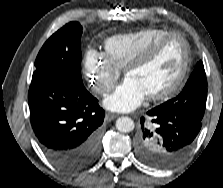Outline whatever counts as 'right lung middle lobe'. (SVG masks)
<instances>
[{"mask_svg": "<svg viewBox=\"0 0 223 188\" xmlns=\"http://www.w3.org/2000/svg\"><path fill=\"white\" fill-rule=\"evenodd\" d=\"M81 35L82 27L78 22H70L55 32L39 51L33 76L61 79L73 87L84 89Z\"/></svg>", "mask_w": 223, "mask_h": 188, "instance_id": "right-lung-middle-lobe-1", "label": "right lung middle lobe"}]
</instances>
